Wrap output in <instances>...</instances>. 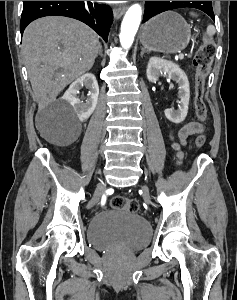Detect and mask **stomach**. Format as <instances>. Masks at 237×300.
Segmentation results:
<instances>
[{
  "label": "stomach",
  "mask_w": 237,
  "mask_h": 300,
  "mask_svg": "<svg viewBox=\"0 0 237 300\" xmlns=\"http://www.w3.org/2000/svg\"><path fill=\"white\" fill-rule=\"evenodd\" d=\"M191 39L190 25L185 19L166 11L154 19H150L141 27L140 41L143 47L160 53H178L189 45Z\"/></svg>",
  "instance_id": "0dacf381"
}]
</instances>
